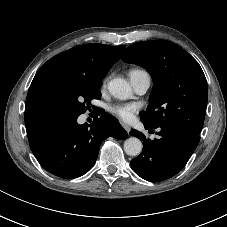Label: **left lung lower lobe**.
Listing matches in <instances>:
<instances>
[{"instance_id":"left-lung-lower-lobe-1","label":"left lung lower lobe","mask_w":227,"mask_h":227,"mask_svg":"<svg viewBox=\"0 0 227 227\" xmlns=\"http://www.w3.org/2000/svg\"><path fill=\"white\" fill-rule=\"evenodd\" d=\"M146 129H158V138L150 140L132 129L130 134L143 143L141 154L131 161L133 171L150 182L169 179L180 172L196 149L199 134L180 126L171 124L151 127L144 123Z\"/></svg>"}]
</instances>
